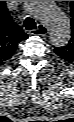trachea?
Returning a JSON list of instances; mask_svg holds the SVG:
<instances>
[{
    "label": "trachea",
    "instance_id": "1",
    "mask_svg": "<svg viewBox=\"0 0 74 122\" xmlns=\"http://www.w3.org/2000/svg\"><path fill=\"white\" fill-rule=\"evenodd\" d=\"M24 26L27 30H35L37 29V25L34 21V19H32L31 17H27L25 20H24Z\"/></svg>",
    "mask_w": 74,
    "mask_h": 122
}]
</instances>
